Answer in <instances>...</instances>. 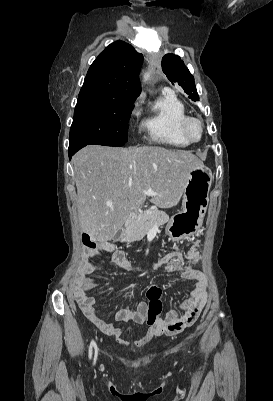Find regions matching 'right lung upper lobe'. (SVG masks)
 Returning <instances> with one entry per match:
<instances>
[{
    "label": "right lung upper lobe",
    "mask_w": 273,
    "mask_h": 401,
    "mask_svg": "<svg viewBox=\"0 0 273 401\" xmlns=\"http://www.w3.org/2000/svg\"><path fill=\"white\" fill-rule=\"evenodd\" d=\"M143 56L129 44H110L92 63L79 97H96L134 103L140 94L139 72Z\"/></svg>",
    "instance_id": "1"
}]
</instances>
